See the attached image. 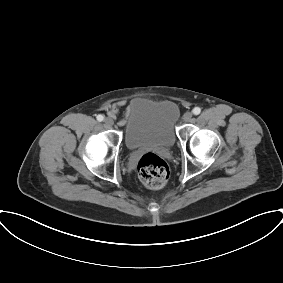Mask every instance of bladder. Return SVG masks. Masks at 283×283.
<instances>
[{
	"instance_id": "bladder-1",
	"label": "bladder",
	"mask_w": 283,
	"mask_h": 283,
	"mask_svg": "<svg viewBox=\"0 0 283 283\" xmlns=\"http://www.w3.org/2000/svg\"><path fill=\"white\" fill-rule=\"evenodd\" d=\"M179 109L170 100L134 101L125 123L124 141L130 150L143 147L171 148L176 141Z\"/></svg>"
}]
</instances>
